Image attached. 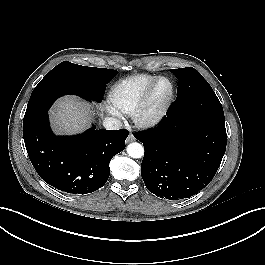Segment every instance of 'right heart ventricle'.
<instances>
[{
    "instance_id": "obj_1",
    "label": "right heart ventricle",
    "mask_w": 265,
    "mask_h": 265,
    "mask_svg": "<svg viewBox=\"0 0 265 265\" xmlns=\"http://www.w3.org/2000/svg\"><path fill=\"white\" fill-rule=\"evenodd\" d=\"M157 76L138 74L118 81L110 90L108 102L112 112L130 115L149 84Z\"/></svg>"
}]
</instances>
